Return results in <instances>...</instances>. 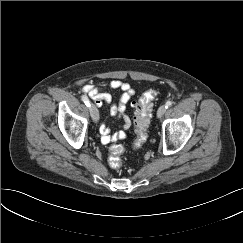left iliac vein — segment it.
<instances>
[{"instance_id": "obj_1", "label": "left iliac vein", "mask_w": 243, "mask_h": 243, "mask_svg": "<svg viewBox=\"0 0 243 243\" xmlns=\"http://www.w3.org/2000/svg\"><path fill=\"white\" fill-rule=\"evenodd\" d=\"M166 112V107L165 105H162L159 107L158 111H157V117L161 118Z\"/></svg>"}]
</instances>
